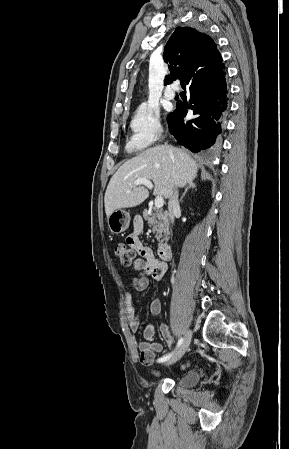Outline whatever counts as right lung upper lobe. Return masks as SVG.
<instances>
[{
    "label": "right lung upper lobe",
    "mask_w": 289,
    "mask_h": 449,
    "mask_svg": "<svg viewBox=\"0 0 289 449\" xmlns=\"http://www.w3.org/2000/svg\"><path fill=\"white\" fill-rule=\"evenodd\" d=\"M163 59L170 70L165 84L179 79L182 86L207 77L223 64L213 39L191 27L176 28L164 48Z\"/></svg>",
    "instance_id": "obj_1"
}]
</instances>
